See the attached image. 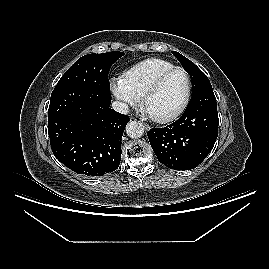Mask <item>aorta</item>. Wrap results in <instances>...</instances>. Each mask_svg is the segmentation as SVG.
Returning <instances> with one entry per match:
<instances>
[{
    "instance_id": "aorta-1",
    "label": "aorta",
    "mask_w": 269,
    "mask_h": 269,
    "mask_svg": "<svg viewBox=\"0 0 269 269\" xmlns=\"http://www.w3.org/2000/svg\"><path fill=\"white\" fill-rule=\"evenodd\" d=\"M126 134L132 139L139 138L144 134V126L137 121H131L126 125Z\"/></svg>"
}]
</instances>
